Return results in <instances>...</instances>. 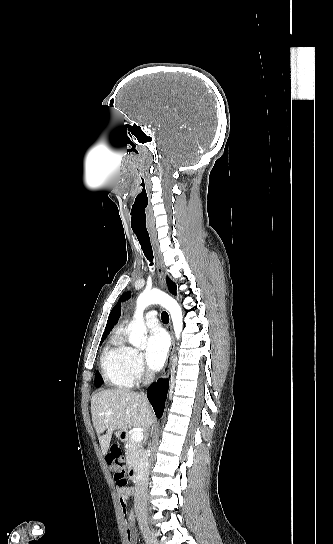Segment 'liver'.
Returning a JSON list of instances; mask_svg holds the SVG:
<instances>
[{"instance_id":"1","label":"liver","mask_w":333,"mask_h":544,"mask_svg":"<svg viewBox=\"0 0 333 544\" xmlns=\"http://www.w3.org/2000/svg\"><path fill=\"white\" fill-rule=\"evenodd\" d=\"M91 414L103 455L109 450L114 430L148 428L154 422V414L146 397L124 389L103 390L94 394ZM105 430L106 434L100 436Z\"/></svg>"}]
</instances>
